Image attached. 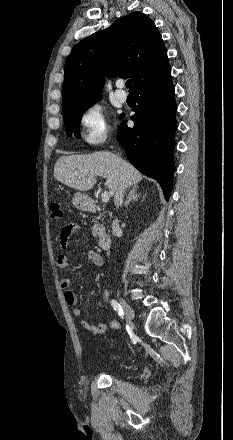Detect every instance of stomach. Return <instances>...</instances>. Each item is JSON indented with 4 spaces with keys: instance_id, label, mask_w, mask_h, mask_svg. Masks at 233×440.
<instances>
[{
    "instance_id": "obj_1",
    "label": "stomach",
    "mask_w": 233,
    "mask_h": 440,
    "mask_svg": "<svg viewBox=\"0 0 233 440\" xmlns=\"http://www.w3.org/2000/svg\"><path fill=\"white\" fill-rule=\"evenodd\" d=\"M72 203L77 209L81 211H86L91 208L90 198L82 192L75 193Z\"/></svg>"
}]
</instances>
